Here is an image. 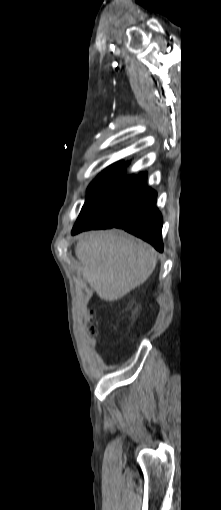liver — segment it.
<instances>
[{"mask_svg":"<svg viewBox=\"0 0 221 510\" xmlns=\"http://www.w3.org/2000/svg\"><path fill=\"white\" fill-rule=\"evenodd\" d=\"M79 270L97 295L115 301L142 285L154 271V249L115 230L83 233L75 246Z\"/></svg>","mask_w":221,"mask_h":510,"instance_id":"1","label":"liver"}]
</instances>
